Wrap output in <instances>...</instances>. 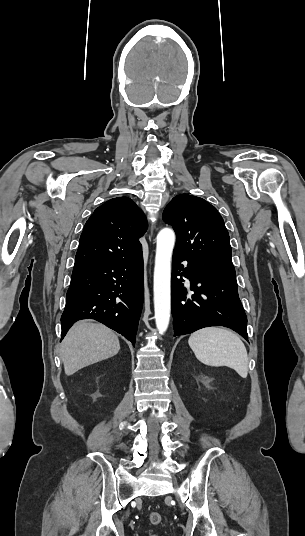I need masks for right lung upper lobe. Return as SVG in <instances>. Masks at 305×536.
Instances as JSON below:
<instances>
[{
	"instance_id": "1",
	"label": "right lung upper lobe",
	"mask_w": 305,
	"mask_h": 536,
	"mask_svg": "<svg viewBox=\"0 0 305 536\" xmlns=\"http://www.w3.org/2000/svg\"><path fill=\"white\" fill-rule=\"evenodd\" d=\"M146 229L145 215L130 198L110 199L86 222L73 271L140 254Z\"/></svg>"
}]
</instances>
